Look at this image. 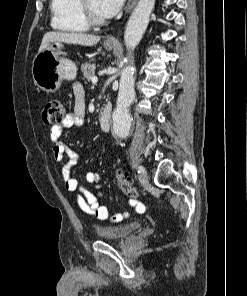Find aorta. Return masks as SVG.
<instances>
[{
  "label": "aorta",
  "instance_id": "aorta-1",
  "mask_svg": "<svg viewBox=\"0 0 247 296\" xmlns=\"http://www.w3.org/2000/svg\"><path fill=\"white\" fill-rule=\"evenodd\" d=\"M154 5L155 0H139L128 20L124 41L129 56L147 29ZM134 71L133 64H129L121 71L117 106L112 114L113 132L119 137L127 136L131 127L129 106L135 99Z\"/></svg>",
  "mask_w": 247,
  "mask_h": 296
}]
</instances>
